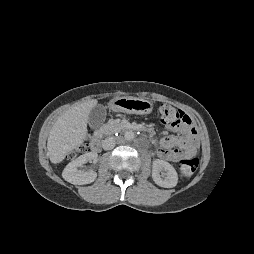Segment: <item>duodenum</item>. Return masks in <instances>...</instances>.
<instances>
[{"label": "duodenum", "mask_w": 254, "mask_h": 254, "mask_svg": "<svg viewBox=\"0 0 254 254\" xmlns=\"http://www.w3.org/2000/svg\"><path fill=\"white\" fill-rule=\"evenodd\" d=\"M127 130L133 131V130H140L142 132H145L147 134H151V129L146 126H128L126 127ZM101 148V132L98 131L95 133V135L92 137L90 141V149L93 152H98Z\"/></svg>", "instance_id": "1"}]
</instances>
